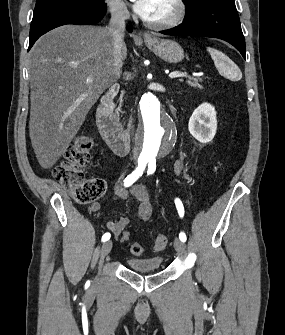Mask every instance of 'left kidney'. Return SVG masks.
<instances>
[{
  "instance_id": "left-kidney-1",
  "label": "left kidney",
  "mask_w": 285,
  "mask_h": 335,
  "mask_svg": "<svg viewBox=\"0 0 285 335\" xmlns=\"http://www.w3.org/2000/svg\"><path fill=\"white\" fill-rule=\"evenodd\" d=\"M217 130L216 112L211 104H201L189 120V132L201 144L213 140Z\"/></svg>"
}]
</instances>
